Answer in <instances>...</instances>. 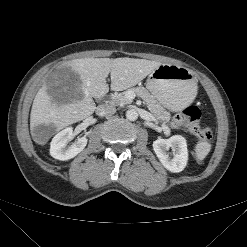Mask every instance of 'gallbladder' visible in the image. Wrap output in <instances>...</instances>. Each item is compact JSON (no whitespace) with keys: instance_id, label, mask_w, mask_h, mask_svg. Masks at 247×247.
Wrapping results in <instances>:
<instances>
[{"instance_id":"obj_1","label":"gallbladder","mask_w":247,"mask_h":247,"mask_svg":"<svg viewBox=\"0 0 247 247\" xmlns=\"http://www.w3.org/2000/svg\"><path fill=\"white\" fill-rule=\"evenodd\" d=\"M79 85V75L64 65L54 70L46 80L47 93L57 104L77 99Z\"/></svg>"}]
</instances>
